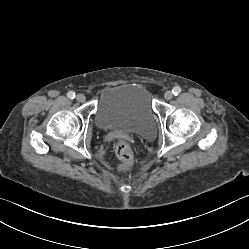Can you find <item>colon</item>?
Returning a JSON list of instances; mask_svg holds the SVG:
<instances>
[{"label": "colon", "instance_id": "obj_1", "mask_svg": "<svg viewBox=\"0 0 249 249\" xmlns=\"http://www.w3.org/2000/svg\"><path fill=\"white\" fill-rule=\"evenodd\" d=\"M116 154L122 162V167L128 169L133 164V154L127 141H119L116 144Z\"/></svg>", "mask_w": 249, "mask_h": 249}]
</instances>
